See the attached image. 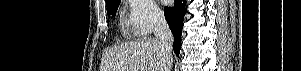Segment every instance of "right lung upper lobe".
Returning <instances> with one entry per match:
<instances>
[{"label":"right lung upper lobe","instance_id":"obj_1","mask_svg":"<svg viewBox=\"0 0 301 71\" xmlns=\"http://www.w3.org/2000/svg\"><path fill=\"white\" fill-rule=\"evenodd\" d=\"M111 1H113V0H106V3H109V2H111Z\"/></svg>","mask_w":301,"mask_h":71}]
</instances>
